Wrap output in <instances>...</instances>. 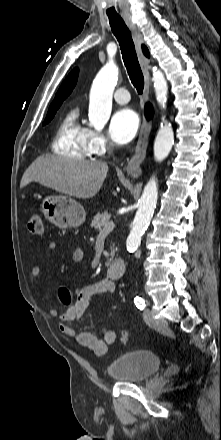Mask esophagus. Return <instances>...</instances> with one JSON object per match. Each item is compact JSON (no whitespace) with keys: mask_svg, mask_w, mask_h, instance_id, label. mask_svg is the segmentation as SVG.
<instances>
[{"mask_svg":"<svg viewBox=\"0 0 221 440\" xmlns=\"http://www.w3.org/2000/svg\"><path fill=\"white\" fill-rule=\"evenodd\" d=\"M125 23L128 26L133 41L135 43L138 59L144 75V93L143 97L148 100L150 89V72H149V60L144 56L141 46L144 43L143 37L136 25L132 23L129 17H124ZM151 131V122L146 119L143 120L141 125L138 142L135 148V154L130 159L126 166V171L129 175L137 177L141 174V164L146 157V150L148 145V138Z\"/></svg>","mask_w":221,"mask_h":440,"instance_id":"esophagus-1","label":"esophagus"}]
</instances>
